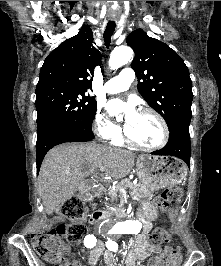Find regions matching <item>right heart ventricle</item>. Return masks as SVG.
Returning a JSON list of instances; mask_svg holds the SVG:
<instances>
[{
	"instance_id": "1",
	"label": "right heart ventricle",
	"mask_w": 221,
	"mask_h": 266,
	"mask_svg": "<svg viewBox=\"0 0 221 266\" xmlns=\"http://www.w3.org/2000/svg\"><path fill=\"white\" fill-rule=\"evenodd\" d=\"M113 143H114L115 145H122V144H123V140H122V138L120 137V138H117V139L113 140Z\"/></svg>"
}]
</instances>
